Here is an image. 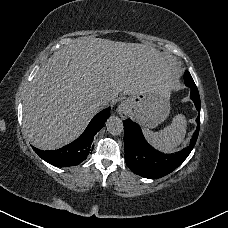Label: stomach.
I'll use <instances>...</instances> for the list:
<instances>
[{"label": "stomach", "instance_id": "obj_1", "mask_svg": "<svg viewBox=\"0 0 228 228\" xmlns=\"http://www.w3.org/2000/svg\"><path fill=\"white\" fill-rule=\"evenodd\" d=\"M128 107L119 106L130 116L148 128H155L162 123L170 113V94L162 92L159 88H151L143 93L125 99Z\"/></svg>", "mask_w": 228, "mask_h": 228}]
</instances>
